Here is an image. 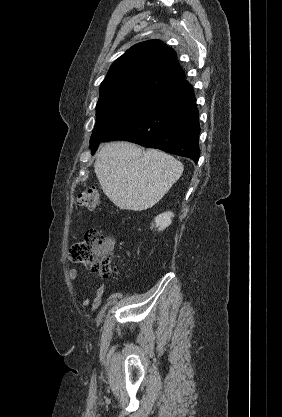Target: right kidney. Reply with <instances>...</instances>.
<instances>
[{
  "instance_id": "ca27d5eb",
  "label": "right kidney",
  "mask_w": 282,
  "mask_h": 417,
  "mask_svg": "<svg viewBox=\"0 0 282 417\" xmlns=\"http://www.w3.org/2000/svg\"><path fill=\"white\" fill-rule=\"evenodd\" d=\"M172 217H174V213H171V211H167V213H161V215H157L155 217L151 229L153 227H157V231H164L166 227H169L172 223Z\"/></svg>"
}]
</instances>
